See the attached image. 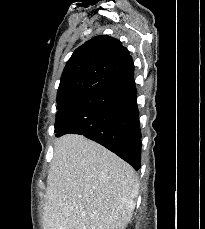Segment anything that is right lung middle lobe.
<instances>
[{"instance_id": "dd1d6c3e", "label": "right lung middle lobe", "mask_w": 205, "mask_h": 229, "mask_svg": "<svg viewBox=\"0 0 205 229\" xmlns=\"http://www.w3.org/2000/svg\"><path fill=\"white\" fill-rule=\"evenodd\" d=\"M77 97V96H76ZM74 99V98H73ZM73 99H65L61 103L57 104V109L60 110L61 108L65 107L68 103H70Z\"/></svg>"}]
</instances>
